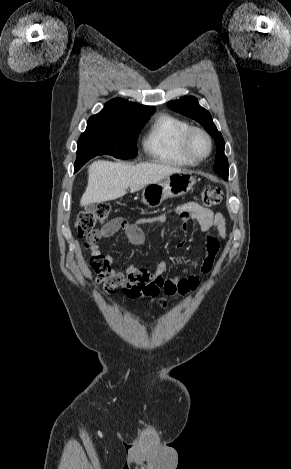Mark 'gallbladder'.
I'll use <instances>...</instances> for the list:
<instances>
[{
	"instance_id": "obj_1",
	"label": "gallbladder",
	"mask_w": 291,
	"mask_h": 469,
	"mask_svg": "<svg viewBox=\"0 0 291 469\" xmlns=\"http://www.w3.org/2000/svg\"><path fill=\"white\" fill-rule=\"evenodd\" d=\"M86 209L90 212H94L96 210V205L95 204H89L86 206Z\"/></svg>"
}]
</instances>
